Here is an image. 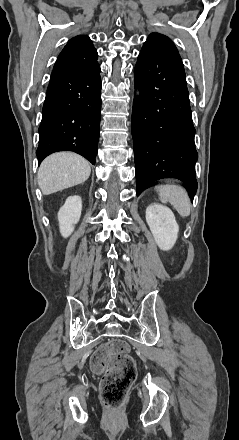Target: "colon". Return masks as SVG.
<instances>
[{
    "label": "colon",
    "mask_w": 239,
    "mask_h": 440,
    "mask_svg": "<svg viewBox=\"0 0 239 440\" xmlns=\"http://www.w3.org/2000/svg\"><path fill=\"white\" fill-rule=\"evenodd\" d=\"M91 366L96 374L102 376L100 393L105 405L109 408L120 407L137 375L129 346L121 340L107 343L94 353Z\"/></svg>",
    "instance_id": "1"
}]
</instances>
